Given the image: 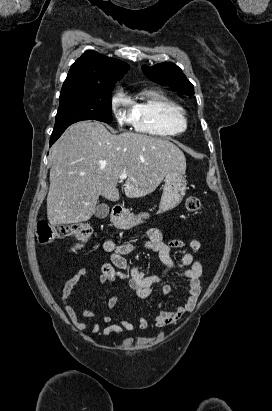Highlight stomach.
Instances as JSON below:
<instances>
[{
  "label": "stomach",
  "instance_id": "1",
  "mask_svg": "<svg viewBox=\"0 0 272 411\" xmlns=\"http://www.w3.org/2000/svg\"><path fill=\"white\" fill-rule=\"evenodd\" d=\"M186 192V179L178 171H169L164 178V187L159 212H166L178 206ZM115 227L122 230H129L142 222V216H136L128 210L123 211L119 216L112 217Z\"/></svg>",
  "mask_w": 272,
  "mask_h": 411
}]
</instances>
